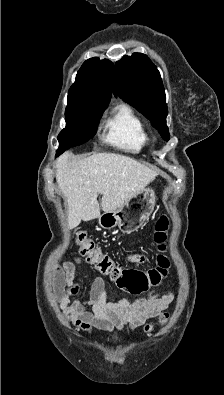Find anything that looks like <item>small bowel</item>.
<instances>
[{
    "label": "small bowel",
    "instance_id": "c3829d8e",
    "mask_svg": "<svg viewBox=\"0 0 224 395\" xmlns=\"http://www.w3.org/2000/svg\"><path fill=\"white\" fill-rule=\"evenodd\" d=\"M132 261H139L137 255H131ZM79 258L67 261L57 267L54 275V291L63 314L77 328L84 331H113L124 327L134 329L143 325L148 319L156 317L165 310L173 300L172 292L151 294L134 300L123 298L117 302H107L105 282L97 277L92 283L88 301H70L79 291L74 283L76 264ZM91 307V311L87 310Z\"/></svg>",
    "mask_w": 224,
    "mask_h": 395
}]
</instances>
